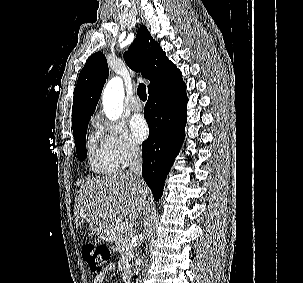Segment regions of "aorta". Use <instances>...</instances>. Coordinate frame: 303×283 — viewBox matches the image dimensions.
Returning a JSON list of instances; mask_svg holds the SVG:
<instances>
[{"label": "aorta", "mask_w": 303, "mask_h": 283, "mask_svg": "<svg viewBox=\"0 0 303 283\" xmlns=\"http://www.w3.org/2000/svg\"><path fill=\"white\" fill-rule=\"evenodd\" d=\"M124 87L121 78L114 77L107 84L103 92V110L108 119L117 120L123 111ZM142 259L138 258L134 264V273L137 275Z\"/></svg>", "instance_id": "aorta-1"}]
</instances>
